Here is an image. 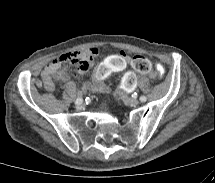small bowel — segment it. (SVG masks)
Returning <instances> with one entry per match:
<instances>
[{
  "label": "small bowel",
  "instance_id": "small-bowel-1",
  "mask_svg": "<svg viewBox=\"0 0 215 183\" xmlns=\"http://www.w3.org/2000/svg\"><path fill=\"white\" fill-rule=\"evenodd\" d=\"M67 55L84 61L83 64L76 68V74L80 75L94 66L95 61L99 56V50L96 47H89L82 51ZM126 65L132 74L145 75L151 70L152 61L145 54H134L129 58L124 52H116L110 55L109 58L100 60L98 69L100 73L109 75L123 69ZM54 78L62 81L68 80L67 73L62 70L60 65V58L52 61L42 72V84L47 91L51 92L55 90ZM85 89H92L99 94L108 92V88L104 84L103 78L100 77H96L92 84L86 83Z\"/></svg>",
  "mask_w": 215,
  "mask_h": 183
}]
</instances>
